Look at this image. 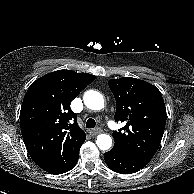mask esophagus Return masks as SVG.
<instances>
[{
  "label": "esophagus",
  "instance_id": "34e87169",
  "mask_svg": "<svg viewBox=\"0 0 194 194\" xmlns=\"http://www.w3.org/2000/svg\"><path fill=\"white\" fill-rule=\"evenodd\" d=\"M101 131H102L101 128H95V129H92L90 131V134L93 135V136H95V135L101 133Z\"/></svg>",
  "mask_w": 194,
  "mask_h": 194
}]
</instances>
